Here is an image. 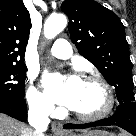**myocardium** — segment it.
Masks as SVG:
<instances>
[{"label": "myocardium", "instance_id": "1", "mask_svg": "<svg viewBox=\"0 0 136 136\" xmlns=\"http://www.w3.org/2000/svg\"><path fill=\"white\" fill-rule=\"evenodd\" d=\"M84 81L93 82V83L100 85L105 92L106 103L103 109L95 114L84 115V114L78 113L73 110L74 116L77 119L86 121V122H94V121L104 119L111 113V111L114 108V104H115V97H114V93H113V90L110 84L104 78L98 75H88L84 78Z\"/></svg>", "mask_w": 136, "mask_h": 136}]
</instances>
